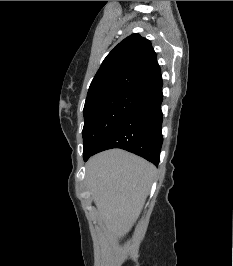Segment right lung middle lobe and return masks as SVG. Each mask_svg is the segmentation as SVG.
<instances>
[{"mask_svg":"<svg viewBox=\"0 0 233 266\" xmlns=\"http://www.w3.org/2000/svg\"><path fill=\"white\" fill-rule=\"evenodd\" d=\"M146 94L144 91L125 90L87 100L83 110V156L94 151Z\"/></svg>","mask_w":233,"mask_h":266,"instance_id":"dd1d6c3e","label":"right lung middle lobe"}]
</instances>
